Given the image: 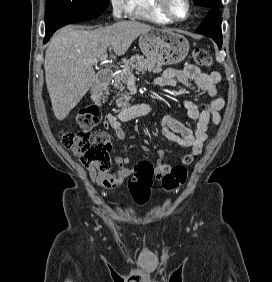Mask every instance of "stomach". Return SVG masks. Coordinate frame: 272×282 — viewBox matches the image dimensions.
Instances as JSON below:
<instances>
[{
	"instance_id": "1",
	"label": "stomach",
	"mask_w": 272,
	"mask_h": 282,
	"mask_svg": "<svg viewBox=\"0 0 272 282\" xmlns=\"http://www.w3.org/2000/svg\"><path fill=\"white\" fill-rule=\"evenodd\" d=\"M139 47L148 59L160 65L177 64L189 52L186 37L170 29L153 28L141 34Z\"/></svg>"
}]
</instances>
